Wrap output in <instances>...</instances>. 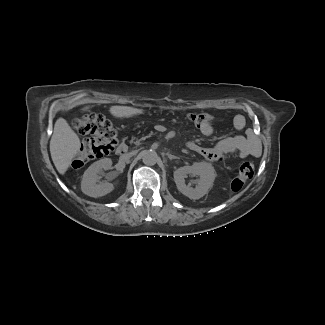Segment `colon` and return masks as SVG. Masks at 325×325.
<instances>
[{
  "label": "colon",
  "mask_w": 325,
  "mask_h": 325,
  "mask_svg": "<svg viewBox=\"0 0 325 325\" xmlns=\"http://www.w3.org/2000/svg\"><path fill=\"white\" fill-rule=\"evenodd\" d=\"M214 116L207 113L190 114L188 120L197 127L204 123L212 122ZM74 128L87 138L78 150L73 166L78 168L87 162L112 153L118 145V135L110 120L100 114H87L77 118ZM254 175V163L244 161L231 182V189L240 191Z\"/></svg>",
  "instance_id": "colon-1"
}]
</instances>
